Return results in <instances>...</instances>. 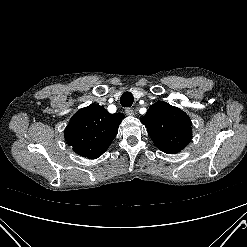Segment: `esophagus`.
<instances>
[{"mask_svg":"<svg viewBox=\"0 0 247 247\" xmlns=\"http://www.w3.org/2000/svg\"><path fill=\"white\" fill-rule=\"evenodd\" d=\"M125 113L128 116H133L134 115V110L132 108H126Z\"/></svg>","mask_w":247,"mask_h":247,"instance_id":"obj_1","label":"esophagus"}]
</instances>
